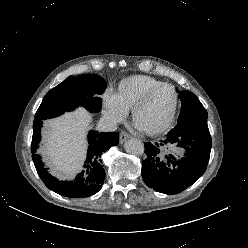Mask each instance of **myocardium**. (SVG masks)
I'll list each match as a JSON object with an SVG mask.
<instances>
[{
	"label": "myocardium",
	"instance_id": "1",
	"mask_svg": "<svg viewBox=\"0 0 248 248\" xmlns=\"http://www.w3.org/2000/svg\"><path fill=\"white\" fill-rule=\"evenodd\" d=\"M163 87H169L172 89L173 93H174V103H173V107L171 110V113L167 119V121L160 127L156 128V129H152V130H146V129H141L136 125V119L139 115V113L146 107V105L148 104V102L150 101L151 97L161 88ZM178 105H179V94L177 89L169 83H160L156 86H154L153 88H151L150 90H148L144 96L137 102V104L133 107V109L131 110V119H132V123L133 125L142 133L148 135V136H158L160 134L165 133L166 131H168L176 118L177 115V110H178Z\"/></svg>",
	"mask_w": 248,
	"mask_h": 248
}]
</instances>
